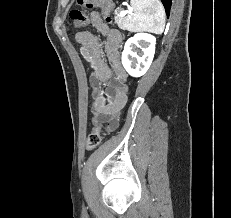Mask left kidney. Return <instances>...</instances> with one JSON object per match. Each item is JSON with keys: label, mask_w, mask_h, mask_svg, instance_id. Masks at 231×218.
Wrapping results in <instances>:
<instances>
[{"label": "left kidney", "mask_w": 231, "mask_h": 218, "mask_svg": "<svg viewBox=\"0 0 231 218\" xmlns=\"http://www.w3.org/2000/svg\"><path fill=\"white\" fill-rule=\"evenodd\" d=\"M155 44L156 38L148 33H137L126 41L121 59L129 75L140 77L147 72L154 57Z\"/></svg>", "instance_id": "5707ae66"}]
</instances>
